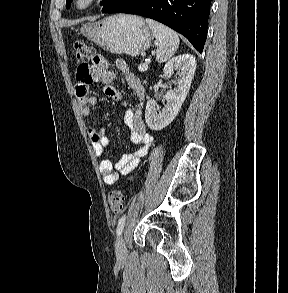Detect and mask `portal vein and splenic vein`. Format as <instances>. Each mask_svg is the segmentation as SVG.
Wrapping results in <instances>:
<instances>
[{
  "instance_id": "portal-vein-and-splenic-vein-1",
  "label": "portal vein and splenic vein",
  "mask_w": 288,
  "mask_h": 293,
  "mask_svg": "<svg viewBox=\"0 0 288 293\" xmlns=\"http://www.w3.org/2000/svg\"><path fill=\"white\" fill-rule=\"evenodd\" d=\"M149 59H145V62L139 66L140 71H146L148 69Z\"/></svg>"
}]
</instances>
